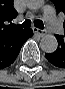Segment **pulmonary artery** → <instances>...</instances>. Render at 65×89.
Instances as JSON below:
<instances>
[{
    "label": "pulmonary artery",
    "mask_w": 65,
    "mask_h": 89,
    "mask_svg": "<svg viewBox=\"0 0 65 89\" xmlns=\"http://www.w3.org/2000/svg\"><path fill=\"white\" fill-rule=\"evenodd\" d=\"M44 17L47 22L48 27L53 33L60 34L62 32L61 24L56 18L52 7L45 6L43 9Z\"/></svg>",
    "instance_id": "obj_1"
}]
</instances>
